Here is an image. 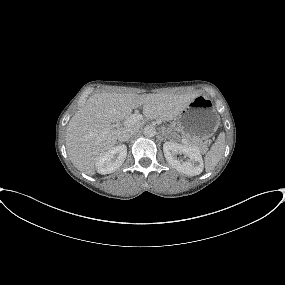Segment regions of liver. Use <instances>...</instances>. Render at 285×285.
<instances>
[{
  "instance_id": "obj_1",
  "label": "liver",
  "mask_w": 285,
  "mask_h": 285,
  "mask_svg": "<svg viewBox=\"0 0 285 285\" xmlns=\"http://www.w3.org/2000/svg\"><path fill=\"white\" fill-rule=\"evenodd\" d=\"M199 94H135L102 92L90 96L73 115L66 129V150L72 164L93 176L97 159L112 149L123 127L139 129L140 123L116 128L112 123L127 119L133 109L143 106L147 119L169 121ZM106 132V133H105Z\"/></svg>"
}]
</instances>
